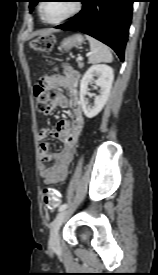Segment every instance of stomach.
<instances>
[{
  "label": "stomach",
  "mask_w": 158,
  "mask_h": 275,
  "mask_svg": "<svg viewBox=\"0 0 158 275\" xmlns=\"http://www.w3.org/2000/svg\"><path fill=\"white\" fill-rule=\"evenodd\" d=\"M83 37L80 34H76L73 36H70L66 39H64L61 43V47L64 50H69L71 49L73 46L77 45V44H81L83 42Z\"/></svg>",
  "instance_id": "stomach-1"
}]
</instances>
